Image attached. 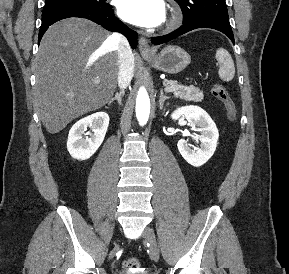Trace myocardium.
<instances>
[{
  "label": "myocardium",
  "mask_w": 289,
  "mask_h": 274,
  "mask_svg": "<svg viewBox=\"0 0 289 274\" xmlns=\"http://www.w3.org/2000/svg\"><path fill=\"white\" fill-rule=\"evenodd\" d=\"M179 22V14L177 11L172 10L165 22V29L170 30L177 26Z\"/></svg>",
  "instance_id": "1"
}]
</instances>
